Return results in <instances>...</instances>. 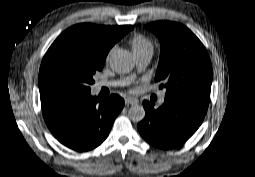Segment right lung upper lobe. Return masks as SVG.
I'll return each mask as SVG.
<instances>
[{
    "instance_id": "right-lung-upper-lobe-1",
    "label": "right lung upper lobe",
    "mask_w": 255,
    "mask_h": 177,
    "mask_svg": "<svg viewBox=\"0 0 255 177\" xmlns=\"http://www.w3.org/2000/svg\"><path fill=\"white\" fill-rule=\"evenodd\" d=\"M126 27L82 23L68 28L58 38L68 37L92 45L107 56L112 46L125 35Z\"/></svg>"
}]
</instances>
